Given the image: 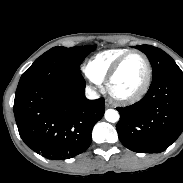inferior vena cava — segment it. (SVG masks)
I'll return each mask as SVG.
<instances>
[{"instance_id":"obj_1","label":"inferior vena cava","mask_w":183,"mask_h":183,"mask_svg":"<svg viewBox=\"0 0 183 183\" xmlns=\"http://www.w3.org/2000/svg\"><path fill=\"white\" fill-rule=\"evenodd\" d=\"M85 95H86V98L90 100L99 98V94L91 87L86 88Z\"/></svg>"}]
</instances>
